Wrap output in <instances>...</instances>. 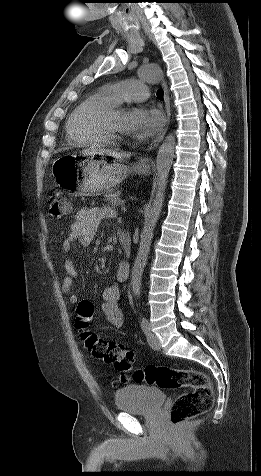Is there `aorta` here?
Listing matches in <instances>:
<instances>
[{
  "label": "aorta",
  "instance_id": "aorta-1",
  "mask_svg": "<svg viewBox=\"0 0 261 476\" xmlns=\"http://www.w3.org/2000/svg\"><path fill=\"white\" fill-rule=\"evenodd\" d=\"M139 74L141 79L149 83H158L162 79V72L160 68L155 65L142 67ZM175 145V137L170 134L165 138L157 153L155 196L151 207L145 215L139 248L131 272L130 285L136 297H140L142 274L148 261L154 229L163 207L168 175L174 158Z\"/></svg>",
  "mask_w": 261,
  "mask_h": 476
}]
</instances>
